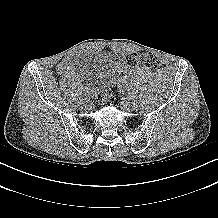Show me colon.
<instances>
[{
    "label": "colon",
    "mask_w": 218,
    "mask_h": 218,
    "mask_svg": "<svg viewBox=\"0 0 218 218\" xmlns=\"http://www.w3.org/2000/svg\"><path fill=\"white\" fill-rule=\"evenodd\" d=\"M145 66L151 70H155L160 66L159 59L152 53H130L126 56L124 65L118 72H122L126 67ZM114 93V88L108 86L96 94V102L99 105H105L111 99Z\"/></svg>",
    "instance_id": "1"
}]
</instances>
